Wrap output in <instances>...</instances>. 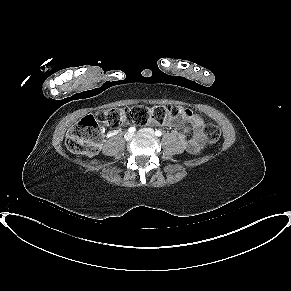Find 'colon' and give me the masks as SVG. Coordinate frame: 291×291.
Returning a JSON list of instances; mask_svg holds the SVG:
<instances>
[{
	"label": "colon",
	"instance_id": "colon-1",
	"mask_svg": "<svg viewBox=\"0 0 291 291\" xmlns=\"http://www.w3.org/2000/svg\"><path fill=\"white\" fill-rule=\"evenodd\" d=\"M179 107L171 106H134L128 108H111L95 114L84 116L73 126L66 136V147L74 153L88 156L95 155L99 150L101 126H117L126 123L145 125L147 123L161 124L166 118L176 117ZM221 135L218 126L212 123L204 125V136L208 143H216Z\"/></svg>",
	"mask_w": 291,
	"mask_h": 291
}]
</instances>
